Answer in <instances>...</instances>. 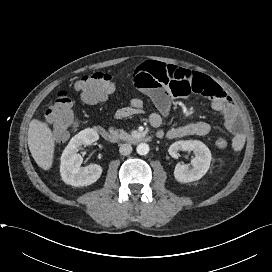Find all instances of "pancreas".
Instances as JSON below:
<instances>
[{
  "mask_svg": "<svg viewBox=\"0 0 272 272\" xmlns=\"http://www.w3.org/2000/svg\"><path fill=\"white\" fill-rule=\"evenodd\" d=\"M109 131L117 139L129 140L131 138V136L122 129H114L113 127H110Z\"/></svg>",
  "mask_w": 272,
  "mask_h": 272,
  "instance_id": "1",
  "label": "pancreas"
}]
</instances>
